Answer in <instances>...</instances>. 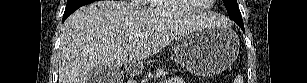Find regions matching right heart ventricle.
Returning <instances> with one entry per match:
<instances>
[{"label": "right heart ventricle", "mask_w": 307, "mask_h": 83, "mask_svg": "<svg viewBox=\"0 0 307 83\" xmlns=\"http://www.w3.org/2000/svg\"><path fill=\"white\" fill-rule=\"evenodd\" d=\"M151 7L158 10L170 11V1L166 0H157L151 2Z\"/></svg>", "instance_id": "right-heart-ventricle-1"}]
</instances>
